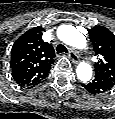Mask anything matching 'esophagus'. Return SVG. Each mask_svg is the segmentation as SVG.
Instances as JSON below:
<instances>
[{
	"mask_svg": "<svg viewBox=\"0 0 115 119\" xmlns=\"http://www.w3.org/2000/svg\"><path fill=\"white\" fill-rule=\"evenodd\" d=\"M69 58L75 64H77L79 61V56H78L77 52L73 51V50L69 51Z\"/></svg>",
	"mask_w": 115,
	"mask_h": 119,
	"instance_id": "obj_1",
	"label": "esophagus"
}]
</instances>
